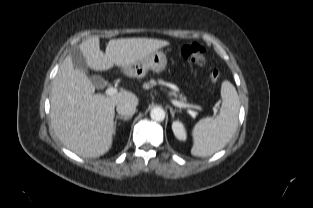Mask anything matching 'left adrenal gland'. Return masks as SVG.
Instances as JSON below:
<instances>
[{
  "mask_svg": "<svg viewBox=\"0 0 313 208\" xmlns=\"http://www.w3.org/2000/svg\"><path fill=\"white\" fill-rule=\"evenodd\" d=\"M169 109H170V113H171L172 118H174V115L176 112H180V110H173V108L170 106H169Z\"/></svg>",
  "mask_w": 313,
  "mask_h": 208,
  "instance_id": "a2214340",
  "label": "left adrenal gland"
}]
</instances>
